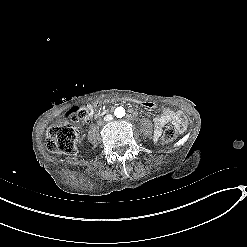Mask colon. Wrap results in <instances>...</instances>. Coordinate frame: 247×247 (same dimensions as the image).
Masks as SVG:
<instances>
[{
    "instance_id": "1",
    "label": "colon",
    "mask_w": 247,
    "mask_h": 247,
    "mask_svg": "<svg viewBox=\"0 0 247 247\" xmlns=\"http://www.w3.org/2000/svg\"><path fill=\"white\" fill-rule=\"evenodd\" d=\"M146 110L151 111L154 103L142 101ZM66 120L63 123L52 125L46 134L45 146L47 150L60 155H74L77 153L78 127L85 123L90 113V106H75L66 112ZM178 136L175 126L169 125L163 134L166 142L174 141Z\"/></svg>"
}]
</instances>
